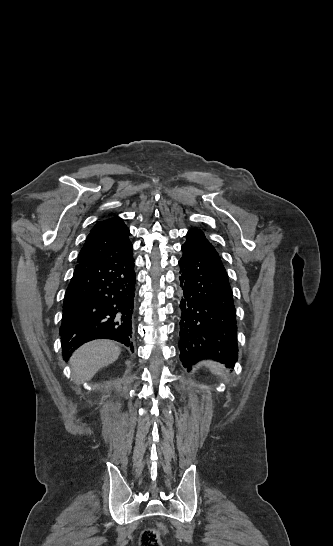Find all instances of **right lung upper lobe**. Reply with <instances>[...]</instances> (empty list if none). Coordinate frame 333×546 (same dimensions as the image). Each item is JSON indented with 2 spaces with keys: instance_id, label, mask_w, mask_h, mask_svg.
Wrapping results in <instances>:
<instances>
[{
  "instance_id": "1",
  "label": "right lung upper lobe",
  "mask_w": 333,
  "mask_h": 546,
  "mask_svg": "<svg viewBox=\"0 0 333 546\" xmlns=\"http://www.w3.org/2000/svg\"><path fill=\"white\" fill-rule=\"evenodd\" d=\"M129 228L119 217L98 222L87 236L78 263L104 260L130 245Z\"/></svg>"
}]
</instances>
